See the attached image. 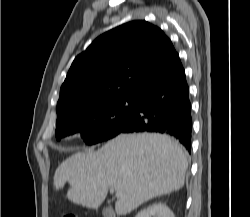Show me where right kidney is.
Here are the masks:
<instances>
[{
    "mask_svg": "<svg viewBox=\"0 0 250 217\" xmlns=\"http://www.w3.org/2000/svg\"><path fill=\"white\" fill-rule=\"evenodd\" d=\"M135 217H175L170 208L162 202L154 203L141 210Z\"/></svg>",
    "mask_w": 250,
    "mask_h": 217,
    "instance_id": "1",
    "label": "right kidney"
}]
</instances>
